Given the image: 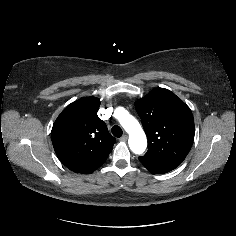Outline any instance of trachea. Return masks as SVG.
I'll return each mask as SVG.
<instances>
[{"mask_svg": "<svg viewBox=\"0 0 236 236\" xmlns=\"http://www.w3.org/2000/svg\"><path fill=\"white\" fill-rule=\"evenodd\" d=\"M111 132L115 137H118V138H120L123 134L121 127H119L118 125L113 126L111 129Z\"/></svg>", "mask_w": 236, "mask_h": 236, "instance_id": "3493384b", "label": "trachea"}]
</instances>
